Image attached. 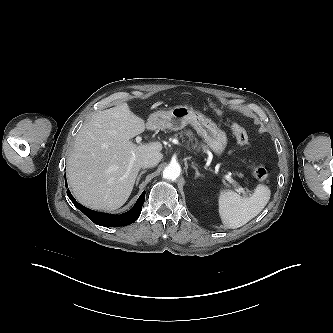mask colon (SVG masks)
I'll return each mask as SVG.
<instances>
[{
	"mask_svg": "<svg viewBox=\"0 0 333 333\" xmlns=\"http://www.w3.org/2000/svg\"><path fill=\"white\" fill-rule=\"evenodd\" d=\"M211 106L218 114H221V110L219 108L213 104H211ZM229 126L237 143L241 147H246L248 145V135L245 129L236 122H229ZM252 174L259 181H265L268 178V171L262 165L255 166L252 170Z\"/></svg>",
	"mask_w": 333,
	"mask_h": 333,
	"instance_id": "5ec220e1",
	"label": "colon"
}]
</instances>
